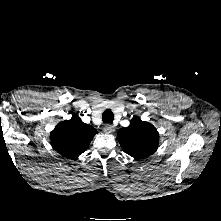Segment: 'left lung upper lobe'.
<instances>
[{
    "label": "left lung upper lobe",
    "mask_w": 221,
    "mask_h": 221,
    "mask_svg": "<svg viewBox=\"0 0 221 221\" xmlns=\"http://www.w3.org/2000/svg\"><path fill=\"white\" fill-rule=\"evenodd\" d=\"M117 138L123 151L135 159L153 154L159 143V134L156 128L137 116L132 118L129 127L119 130Z\"/></svg>",
    "instance_id": "1"
}]
</instances>
